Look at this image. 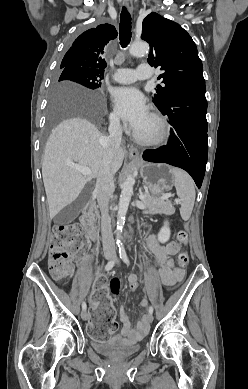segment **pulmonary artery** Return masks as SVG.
<instances>
[{
	"label": "pulmonary artery",
	"mask_w": 248,
	"mask_h": 389,
	"mask_svg": "<svg viewBox=\"0 0 248 389\" xmlns=\"http://www.w3.org/2000/svg\"><path fill=\"white\" fill-rule=\"evenodd\" d=\"M151 76L152 71L150 65L148 63H141L136 70L129 68L117 69L116 73L113 75V80L118 83L126 84L132 83L137 79H149Z\"/></svg>",
	"instance_id": "e3ab8cb5"
}]
</instances>
